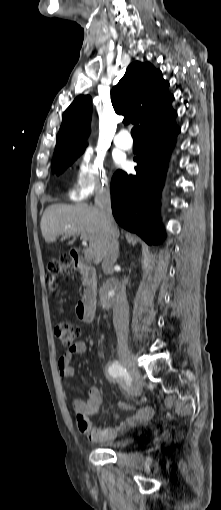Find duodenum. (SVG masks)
<instances>
[{
    "label": "duodenum",
    "mask_w": 221,
    "mask_h": 510,
    "mask_svg": "<svg viewBox=\"0 0 221 510\" xmlns=\"http://www.w3.org/2000/svg\"><path fill=\"white\" fill-rule=\"evenodd\" d=\"M73 267L76 268L84 279L82 299L78 302L76 312L78 317L85 323L93 322L97 303V273L96 270L81 262L76 251L71 252Z\"/></svg>",
    "instance_id": "1"
}]
</instances>
